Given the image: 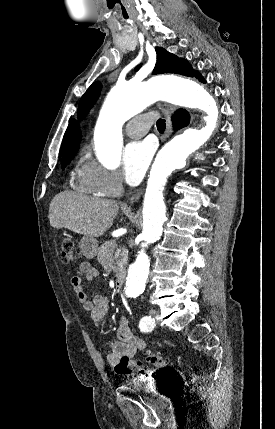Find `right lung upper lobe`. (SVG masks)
<instances>
[{
    "label": "right lung upper lobe",
    "instance_id": "cb5924a9",
    "mask_svg": "<svg viewBox=\"0 0 275 429\" xmlns=\"http://www.w3.org/2000/svg\"><path fill=\"white\" fill-rule=\"evenodd\" d=\"M81 140V133L78 126L74 121H72L64 135L62 146L60 149L61 156H68L76 154L79 149V143Z\"/></svg>",
    "mask_w": 275,
    "mask_h": 429
}]
</instances>
